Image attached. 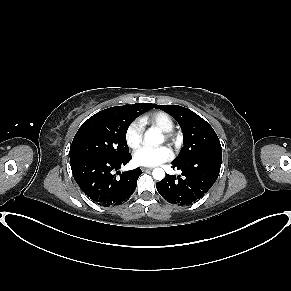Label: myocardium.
Returning <instances> with one entry per match:
<instances>
[{
  "mask_svg": "<svg viewBox=\"0 0 291 291\" xmlns=\"http://www.w3.org/2000/svg\"><path fill=\"white\" fill-rule=\"evenodd\" d=\"M164 139L166 141L172 142L173 144H175L177 141V138L172 131L164 132Z\"/></svg>",
  "mask_w": 291,
  "mask_h": 291,
  "instance_id": "obj_1",
  "label": "myocardium"
}]
</instances>
